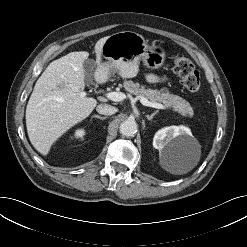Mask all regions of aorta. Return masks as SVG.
<instances>
[{
	"instance_id": "762f6f07",
	"label": "aorta",
	"mask_w": 247,
	"mask_h": 247,
	"mask_svg": "<svg viewBox=\"0 0 247 247\" xmlns=\"http://www.w3.org/2000/svg\"><path fill=\"white\" fill-rule=\"evenodd\" d=\"M120 133L124 136L130 137L137 132V123L134 120H125L120 124Z\"/></svg>"
}]
</instances>
